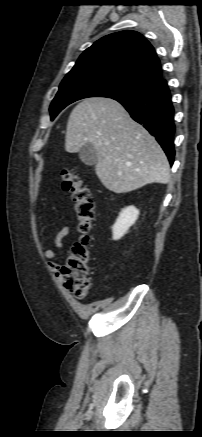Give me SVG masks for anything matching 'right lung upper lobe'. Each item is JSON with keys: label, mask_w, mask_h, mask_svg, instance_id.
<instances>
[{"label": "right lung upper lobe", "mask_w": 202, "mask_h": 437, "mask_svg": "<svg viewBox=\"0 0 202 437\" xmlns=\"http://www.w3.org/2000/svg\"><path fill=\"white\" fill-rule=\"evenodd\" d=\"M112 71L154 83L161 78L160 61L152 45L138 32L107 35L86 49L70 72Z\"/></svg>", "instance_id": "1"}]
</instances>
